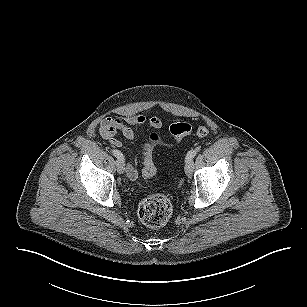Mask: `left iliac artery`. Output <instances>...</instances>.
<instances>
[{
  "label": "left iliac artery",
  "mask_w": 307,
  "mask_h": 307,
  "mask_svg": "<svg viewBox=\"0 0 307 307\" xmlns=\"http://www.w3.org/2000/svg\"><path fill=\"white\" fill-rule=\"evenodd\" d=\"M197 150L196 149H192V150H190L188 153H187V155H186V162L187 161H189V160H191V159H193L195 156H196V154H197Z\"/></svg>",
  "instance_id": "1"
}]
</instances>
